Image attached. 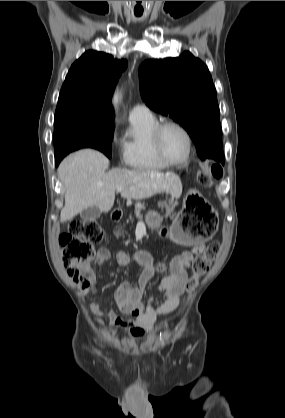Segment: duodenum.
<instances>
[{
  "instance_id": "obj_1",
  "label": "duodenum",
  "mask_w": 285,
  "mask_h": 418,
  "mask_svg": "<svg viewBox=\"0 0 285 418\" xmlns=\"http://www.w3.org/2000/svg\"><path fill=\"white\" fill-rule=\"evenodd\" d=\"M123 216V213L119 209H114L112 211V219L114 221H119Z\"/></svg>"
}]
</instances>
